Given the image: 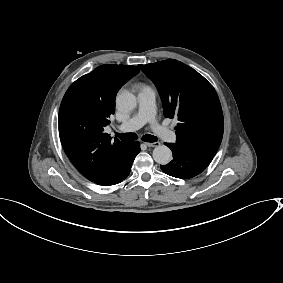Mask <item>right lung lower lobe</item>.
Returning a JSON list of instances; mask_svg holds the SVG:
<instances>
[{"mask_svg":"<svg viewBox=\"0 0 283 283\" xmlns=\"http://www.w3.org/2000/svg\"><path fill=\"white\" fill-rule=\"evenodd\" d=\"M132 152L126 163L121 166L119 169H117L115 172L109 174L108 176L104 177L103 179H100L98 181H95L96 184L103 185V186H110L117 183H120L130 173L132 163L136 157V155L140 152V144L137 141H133L132 143Z\"/></svg>","mask_w":283,"mask_h":283,"instance_id":"98d812e1","label":"right lung lower lobe"}]
</instances>
